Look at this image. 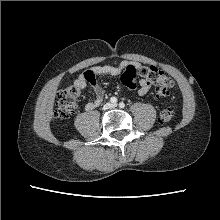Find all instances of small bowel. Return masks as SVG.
Here are the masks:
<instances>
[{
	"instance_id": "small-bowel-1",
	"label": "small bowel",
	"mask_w": 220,
	"mask_h": 220,
	"mask_svg": "<svg viewBox=\"0 0 220 220\" xmlns=\"http://www.w3.org/2000/svg\"><path fill=\"white\" fill-rule=\"evenodd\" d=\"M132 64V62L124 61L120 65H100L92 68L89 71H86L82 75L79 76L78 79L75 80V86L79 87L80 89L85 88L87 85H90L95 93V99L87 102L85 105V109L90 111L97 108L103 101L104 98V90L98 84L97 78L99 76H117L120 74L121 70L126 67L127 65ZM150 90V84L141 79L139 82L138 94L143 96L146 95Z\"/></svg>"
}]
</instances>
